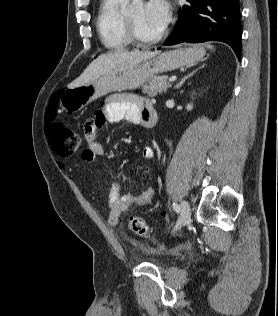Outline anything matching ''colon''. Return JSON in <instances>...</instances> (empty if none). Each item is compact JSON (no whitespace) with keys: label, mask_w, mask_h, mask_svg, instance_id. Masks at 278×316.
Returning <instances> with one entry per match:
<instances>
[{"label":"colon","mask_w":278,"mask_h":316,"mask_svg":"<svg viewBox=\"0 0 278 316\" xmlns=\"http://www.w3.org/2000/svg\"><path fill=\"white\" fill-rule=\"evenodd\" d=\"M47 136L53 152L58 156L72 155L82 145L80 133L62 123L49 125ZM128 227L134 234L152 239L150 229L142 217L137 215L130 216L128 218Z\"/></svg>","instance_id":"5ec220e1"}]
</instances>
